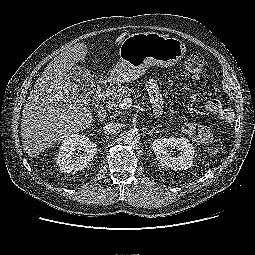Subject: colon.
<instances>
[{
	"instance_id": "5ec220e1",
	"label": "colon",
	"mask_w": 255,
	"mask_h": 255,
	"mask_svg": "<svg viewBox=\"0 0 255 255\" xmlns=\"http://www.w3.org/2000/svg\"><path fill=\"white\" fill-rule=\"evenodd\" d=\"M203 65L204 59L201 54H191L184 63V76L190 80H198L201 75ZM218 103V100L212 99L210 102V106L215 107ZM182 130L185 134H187L193 140L199 143H210L214 139L213 132L208 127L200 124L186 122L184 123Z\"/></svg>"
}]
</instances>
